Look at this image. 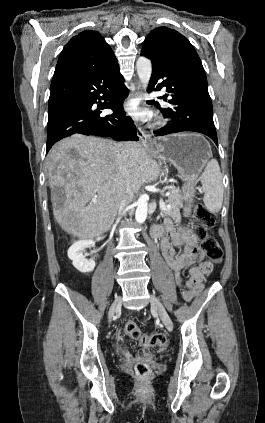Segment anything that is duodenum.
Segmentation results:
<instances>
[{"label":"duodenum","instance_id":"410a0bca","mask_svg":"<svg viewBox=\"0 0 265 423\" xmlns=\"http://www.w3.org/2000/svg\"><path fill=\"white\" fill-rule=\"evenodd\" d=\"M152 233H153V236H154L156 239H158V238L162 237V235H163V232H162V230H161L159 227H154V228L152 229Z\"/></svg>","mask_w":265,"mask_h":423}]
</instances>
